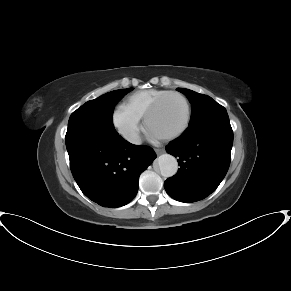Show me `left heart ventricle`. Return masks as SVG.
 Returning <instances> with one entry per match:
<instances>
[{
  "instance_id": "obj_1",
  "label": "left heart ventricle",
  "mask_w": 291,
  "mask_h": 291,
  "mask_svg": "<svg viewBox=\"0 0 291 291\" xmlns=\"http://www.w3.org/2000/svg\"><path fill=\"white\" fill-rule=\"evenodd\" d=\"M186 120V106L177 96L168 97L152 116L149 132L156 137L167 136L177 131Z\"/></svg>"
}]
</instances>
